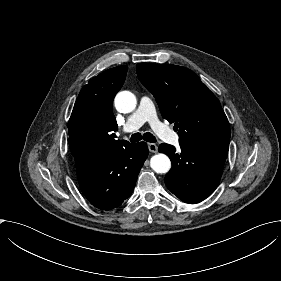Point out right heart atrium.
I'll use <instances>...</instances> for the list:
<instances>
[{
  "label": "right heart atrium",
  "mask_w": 281,
  "mask_h": 281,
  "mask_svg": "<svg viewBox=\"0 0 281 281\" xmlns=\"http://www.w3.org/2000/svg\"><path fill=\"white\" fill-rule=\"evenodd\" d=\"M129 104H130V96L126 92L121 91L116 95L115 98L116 107L120 106L123 109H128Z\"/></svg>",
  "instance_id": "1"
}]
</instances>
